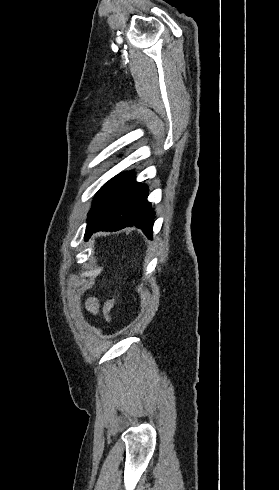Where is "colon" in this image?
<instances>
[{
    "mask_svg": "<svg viewBox=\"0 0 279 490\" xmlns=\"http://www.w3.org/2000/svg\"><path fill=\"white\" fill-rule=\"evenodd\" d=\"M116 307L115 301L111 298L107 299L103 305L102 313L105 321H109Z\"/></svg>",
    "mask_w": 279,
    "mask_h": 490,
    "instance_id": "colon-1",
    "label": "colon"
}]
</instances>
